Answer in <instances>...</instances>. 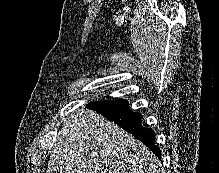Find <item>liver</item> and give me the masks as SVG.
Returning a JSON list of instances; mask_svg holds the SVG:
<instances>
[{"mask_svg": "<svg viewBox=\"0 0 219 173\" xmlns=\"http://www.w3.org/2000/svg\"><path fill=\"white\" fill-rule=\"evenodd\" d=\"M54 148L46 173H160L144 144L85 108L66 117Z\"/></svg>", "mask_w": 219, "mask_h": 173, "instance_id": "1", "label": "liver"}]
</instances>
